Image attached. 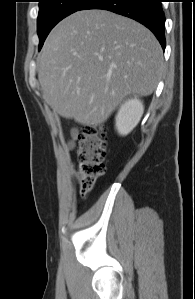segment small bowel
<instances>
[{
  "label": "small bowel",
  "instance_id": "obj_1",
  "mask_svg": "<svg viewBox=\"0 0 195 299\" xmlns=\"http://www.w3.org/2000/svg\"><path fill=\"white\" fill-rule=\"evenodd\" d=\"M71 133H72V137L74 138L77 134V131L72 130ZM67 147H68V149H72L74 147V140L73 139L68 142Z\"/></svg>",
  "mask_w": 195,
  "mask_h": 299
}]
</instances>
